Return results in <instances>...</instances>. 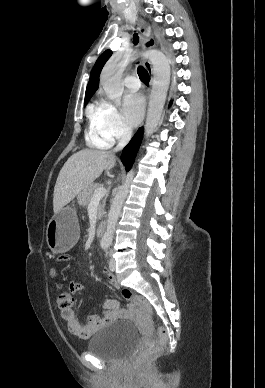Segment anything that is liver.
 I'll return each mask as SVG.
<instances>
[{
  "label": "liver",
  "mask_w": 265,
  "mask_h": 388,
  "mask_svg": "<svg viewBox=\"0 0 265 388\" xmlns=\"http://www.w3.org/2000/svg\"><path fill=\"white\" fill-rule=\"evenodd\" d=\"M115 164V156L105 150H80L73 154L60 170L55 184L54 214H58L86 186L97 180L104 170H111Z\"/></svg>",
  "instance_id": "6515ba94"
}]
</instances>
